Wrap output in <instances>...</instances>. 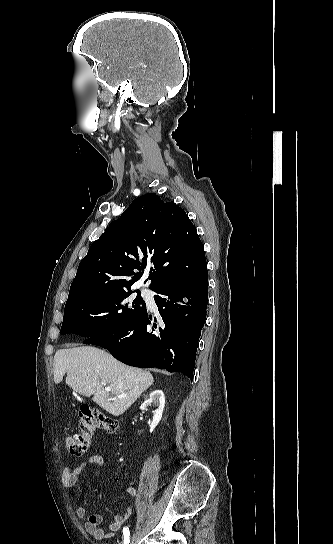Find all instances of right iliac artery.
Here are the masks:
<instances>
[{
    "label": "right iliac artery",
    "instance_id": "right-iliac-artery-1",
    "mask_svg": "<svg viewBox=\"0 0 333 544\" xmlns=\"http://www.w3.org/2000/svg\"><path fill=\"white\" fill-rule=\"evenodd\" d=\"M123 544H129L130 541V531L128 527L123 528Z\"/></svg>",
    "mask_w": 333,
    "mask_h": 544
}]
</instances>
